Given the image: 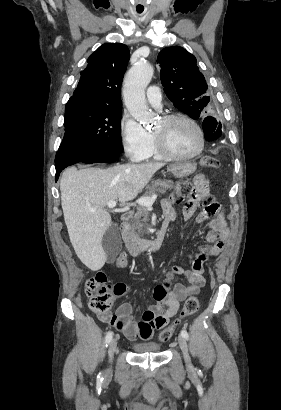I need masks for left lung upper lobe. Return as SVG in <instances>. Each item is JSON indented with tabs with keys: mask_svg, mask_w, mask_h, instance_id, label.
<instances>
[{
	"mask_svg": "<svg viewBox=\"0 0 281 410\" xmlns=\"http://www.w3.org/2000/svg\"><path fill=\"white\" fill-rule=\"evenodd\" d=\"M157 61L161 66L162 85L173 105L193 119L203 117L210 106V98L194 55L182 47L173 46L161 50ZM221 133L220 124L218 134Z\"/></svg>",
	"mask_w": 281,
	"mask_h": 410,
	"instance_id": "5c2ea615",
	"label": "left lung upper lobe"
}]
</instances>
